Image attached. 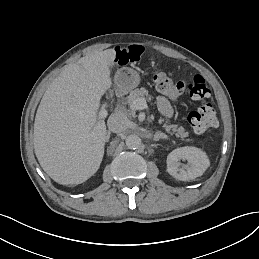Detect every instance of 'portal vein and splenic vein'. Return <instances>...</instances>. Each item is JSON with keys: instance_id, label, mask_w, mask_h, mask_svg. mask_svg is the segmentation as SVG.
Masks as SVG:
<instances>
[{"instance_id": "obj_1", "label": "portal vein and splenic vein", "mask_w": 259, "mask_h": 259, "mask_svg": "<svg viewBox=\"0 0 259 259\" xmlns=\"http://www.w3.org/2000/svg\"><path fill=\"white\" fill-rule=\"evenodd\" d=\"M129 107L131 110H144L148 108V105L146 103V100L143 98H136L135 100L131 101L129 103ZM108 115V110L103 109L100 111L99 116L101 118L106 117Z\"/></svg>"}]
</instances>
